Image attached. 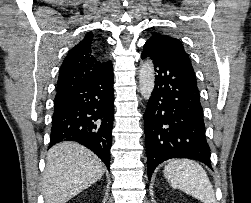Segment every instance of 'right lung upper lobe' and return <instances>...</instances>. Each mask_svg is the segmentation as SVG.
<instances>
[{
	"label": "right lung upper lobe",
	"mask_w": 251,
	"mask_h": 203,
	"mask_svg": "<svg viewBox=\"0 0 251 203\" xmlns=\"http://www.w3.org/2000/svg\"><path fill=\"white\" fill-rule=\"evenodd\" d=\"M93 45V33L89 32L69 51L60 68L56 97L102 74L111 66V62H100L96 59Z\"/></svg>",
	"instance_id": "1"
}]
</instances>
